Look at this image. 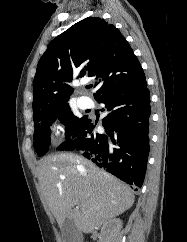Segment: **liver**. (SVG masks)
I'll use <instances>...</instances> for the list:
<instances>
[{
    "label": "liver",
    "mask_w": 187,
    "mask_h": 242,
    "mask_svg": "<svg viewBox=\"0 0 187 242\" xmlns=\"http://www.w3.org/2000/svg\"><path fill=\"white\" fill-rule=\"evenodd\" d=\"M43 195L61 227L66 218L91 233L132 207L134 194L117 178L72 153L43 158L37 166ZM79 207L75 208V203Z\"/></svg>",
    "instance_id": "liver-1"
}]
</instances>
